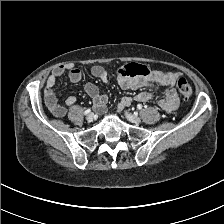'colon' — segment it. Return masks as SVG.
Listing matches in <instances>:
<instances>
[{
    "mask_svg": "<svg viewBox=\"0 0 224 224\" xmlns=\"http://www.w3.org/2000/svg\"><path fill=\"white\" fill-rule=\"evenodd\" d=\"M150 73L151 70L148 66L138 63L128 64L121 70V74L128 77H143L147 76ZM176 86L182 97L188 99L192 96L193 90L189 82L184 77H180L177 79Z\"/></svg>",
    "mask_w": 224,
    "mask_h": 224,
    "instance_id": "colon-1",
    "label": "colon"
}]
</instances>
